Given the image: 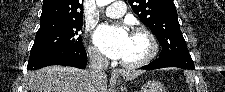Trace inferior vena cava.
I'll return each instance as SVG.
<instances>
[{
  "label": "inferior vena cava",
  "mask_w": 225,
  "mask_h": 92,
  "mask_svg": "<svg viewBox=\"0 0 225 92\" xmlns=\"http://www.w3.org/2000/svg\"><path fill=\"white\" fill-rule=\"evenodd\" d=\"M89 72L92 76H98L103 74L104 71L108 68L109 62L106 57H104L97 50H89Z\"/></svg>",
  "instance_id": "602c4592"
}]
</instances>
